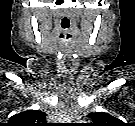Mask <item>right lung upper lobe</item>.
<instances>
[{"label": "right lung upper lobe", "mask_w": 135, "mask_h": 126, "mask_svg": "<svg viewBox=\"0 0 135 126\" xmlns=\"http://www.w3.org/2000/svg\"><path fill=\"white\" fill-rule=\"evenodd\" d=\"M45 118V113L39 110H27L12 116L9 120L10 124L21 126L28 124H40Z\"/></svg>", "instance_id": "cb5924a9"}]
</instances>
